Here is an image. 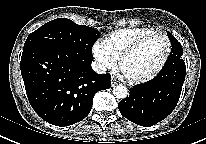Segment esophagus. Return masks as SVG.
I'll list each match as a JSON object with an SVG mask.
<instances>
[{
    "instance_id": "34e87169",
    "label": "esophagus",
    "mask_w": 206,
    "mask_h": 144,
    "mask_svg": "<svg viewBox=\"0 0 206 144\" xmlns=\"http://www.w3.org/2000/svg\"><path fill=\"white\" fill-rule=\"evenodd\" d=\"M116 84H118V81L114 78L111 79V85L115 86Z\"/></svg>"
}]
</instances>
